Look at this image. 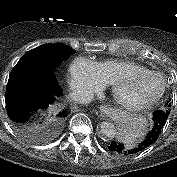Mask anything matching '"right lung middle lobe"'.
Returning a JSON list of instances; mask_svg holds the SVG:
<instances>
[{"instance_id": "1", "label": "right lung middle lobe", "mask_w": 177, "mask_h": 177, "mask_svg": "<svg viewBox=\"0 0 177 177\" xmlns=\"http://www.w3.org/2000/svg\"><path fill=\"white\" fill-rule=\"evenodd\" d=\"M74 52L75 51L72 48L62 44H43L28 51L20 60L30 58L46 63L52 68H56L63 60L71 56ZM63 121L64 119H58L57 127L61 126Z\"/></svg>"}]
</instances>
